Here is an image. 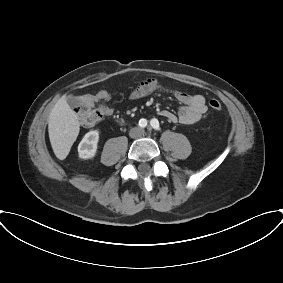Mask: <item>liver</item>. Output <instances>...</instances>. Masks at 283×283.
I'll list each match as a JSON object with an SVG mask.
<instances>
[{
  "label": "liver",
  "mask_w": 283,
  "mask_h": 283,
  "mask_svg": "<svg viewBox=\"0 0 283 283\" xmlns=\"http://www.w3.org/2000/svg\"><path fill=\"white\" fill-rule=\"evenodd\" d=\"M80 125L76 113L64 97L60 98L48 119L49 139L56 157L64 160L79 134Z\"/></svg>",
  "instance_id": "6515ba94"
}]
</instances>
